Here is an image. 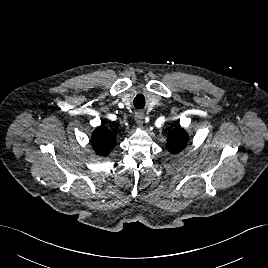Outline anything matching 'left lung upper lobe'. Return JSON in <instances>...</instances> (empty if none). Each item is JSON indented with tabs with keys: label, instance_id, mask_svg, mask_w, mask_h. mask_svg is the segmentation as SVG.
Instances as JSON below:
<instances>
[{
	"label": "left lung upper lobe",
	"instance_id": "left-lung-upper-lobe-1",
	"mask_svg": "<svg viewBox=\"0 0 268 268\" xmlns=\"http://www.w3.org/2000/svg\"><path fill=\"white\" fill-rule=\"evenodd\" d=\"M188 139L189 136L186 131L178 127L169 134L166 149L172 154L179 153L186 146Z\"/></svg>",
	"mask_w": 268,
	"mask_h": 268
}]
</instances>
